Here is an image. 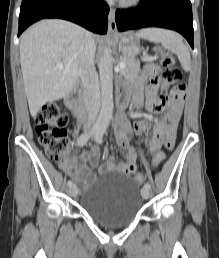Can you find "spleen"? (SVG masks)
Here are the masks:
<instances>
[{
	"label": "spleen",
	"mask_w": 219,
	"mask_h": 258,
	"mask_svg": "<svg viewBox=\"0 0 219 258\" xmlns=\"http://www.w3.org/2000/svg\"><path fill=\"white\" fill-rule=\"evenodd\" d=\"M135 35L137 38H143L154 43H161L164 48L178 56L181 66L185 71L190 70V53L178 33L161 28H145L138 31Z\"/></svg>",
	"instance_id": "1"
}]
</instances>
